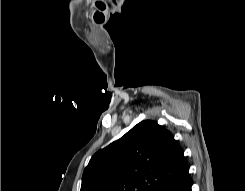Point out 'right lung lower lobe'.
I'll return each instance as SVG.
<instances>
[{"mask_svg": "<svg viewBox=\"0 0 245 191\" xmlns=\"http://www.w3.org/2000/svg\"><path fill=\"white\" fill-rule=\"evenodd\" d=\"M192 183L190 180L189 170L184 174L163 185L158 191H192Z\"/></svg>", "mask_w": 245, "mask_h": 191, "instance_id": "98d812e1", "label": "right lung lower lobe"}]
</instances>
